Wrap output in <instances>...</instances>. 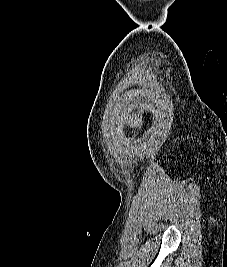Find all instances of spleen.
I'll return each instance as SVG.
<instances>
[{
    "mask_svg": "<svg viewBox=\"0 0 227 267\" xmlns=\"http://www.w3.org/2000/svg\"><path fill=\"white\" fill-rule=\"evenodd\" d=\"M142 121H149V116H142ZM139 129H145V124H129L128 134H139Z\"/></svg>",
    "mask_w": 227,
    "mask_h": 267,
    "instance_id": "spleen-1",
    "label": "spleen"
}]
</instances>
